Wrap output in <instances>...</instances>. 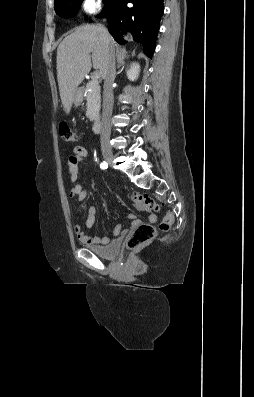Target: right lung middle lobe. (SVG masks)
Returning a JSON list of instances; mask_svg holds the SVG:
<instances>
[{"instance_id": "obj_1", "label": "right lung middle lobe", "mask_w": 254, "mask_h": 397, "mask_svg": "<svg viewBox=\"0 0 254 397\" xmlns=\"http://www.w3.org/2000/svg\"><path fill=\"white\" fill-rule=\"evenodd\" d=\"M82 1L83 0H56L54 4L56 14L65 18L73 17L76 15ZM112 1L113 0H103L106 4V8L110 6Z\"/></svg>"}]
</instances>
